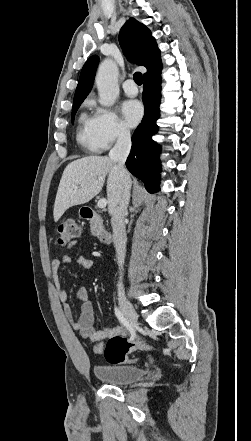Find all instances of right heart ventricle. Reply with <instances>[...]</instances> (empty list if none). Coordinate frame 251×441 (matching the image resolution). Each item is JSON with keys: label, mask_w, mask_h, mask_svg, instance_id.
<instances>
[{"label": "right heart ventricle", "mask_w": 251, "mask_h": 441, "mask_svg": "<svg viewBox=\"0 0 251 441\" xmlns=\"http://www.w3.org/2000/svg\"><path fill=\"white\" fill-rule=\"evenodd\" d=\"M76 138L78 143L90 152L102 150L94 132L93 117L88 116L85 112L81 113L79 117Z\"/></svg>", "instance_id": "e07e8e85"}]
</instances>
